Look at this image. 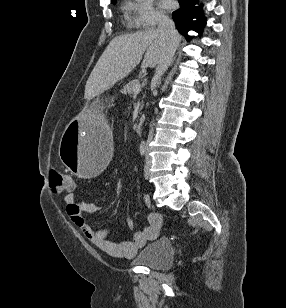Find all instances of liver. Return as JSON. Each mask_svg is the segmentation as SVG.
Returning <instances> with one entry per match:
<instances>
[{
	"label": "liver",
	"mask_w": 286,
	"mask_h": 308,
	"mask_svg": "<svg viewBox=\"0 0 286 308\" xmlns=\"http://www.w3.org/2000/svg\"><path fill=\"white\" fill-rule=\"evenodd\" d=\"M181 38L178 34V44ZM165 47V38L158 29H147L115 37L102 53L87 80L85 98L91 99L122 80L141 61L143 68H154L162 58ZM96 113L86 111L83 118L92 125L103 124L104 119Z\"/></svg>",
	"instance_id": "1"
}]
</instances>
